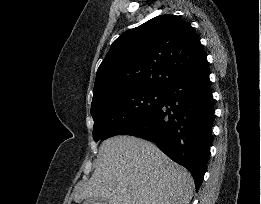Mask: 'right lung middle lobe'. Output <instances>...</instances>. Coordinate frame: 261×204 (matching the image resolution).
<instances>
[{"label":"right lung middle lobe","instance_id":"right-lung-middle-lobe-1","mask_svg":"<svg viewBox=\"0 0 261 204\" xmlns=\"http://www.w3.org/2000/svg\"><path fill=\"white\" fill-rule=\"evenodd\" d=\"M162 96L163 91L147 89L121 90L106 95L91 106L94 140L120 135L150 112Z\"/></svg>","mask_w":261,"mask_h":204}]
</instances>
